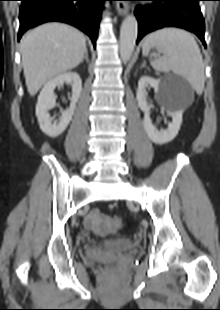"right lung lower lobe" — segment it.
I'll use <instances>...</instances> for the list:
<instances>
[{"label":"right lung lower lobe","instance_id":"obj_1","mask_svg":"<svg viewBox=\"0 0 220 310\" xmlns=\"http://www.w3.org/2000/svg\"><path fill=\"white\" fill-rule=\"evenodd\" d=\"M104 1L113 0H21L18 39L39 24L60 21L82 30L95 46Z\"/></svg>","mask_w":220,"mask_h":310}]
</instances>
